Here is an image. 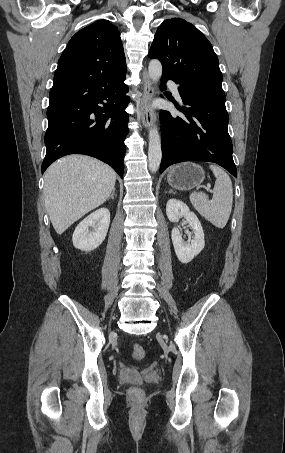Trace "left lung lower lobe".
I'll return each instance as SVG.
<instances>
[{"label": "left lung lower lobe", "mask_w": 285, "mask_h": 453, "mask_svg": "<svg viewBox=\"0 0 285 453\" xmlns=\"http://www.w3.org/2000/svg\"><path fill=\"white\" fill-rule=\"evenodd\" d=\"M168 79L178 84L173 78L162 75V90L166 89ZM178 90L185 105L178 109L185 117L160 111L163 153L160 172L174 163L208 161L217 163L236 177L225 102L189 92L181 85Z\"/></svg>", "instance_id": "left-lung-lower-lobe-1"}]
</instances>
